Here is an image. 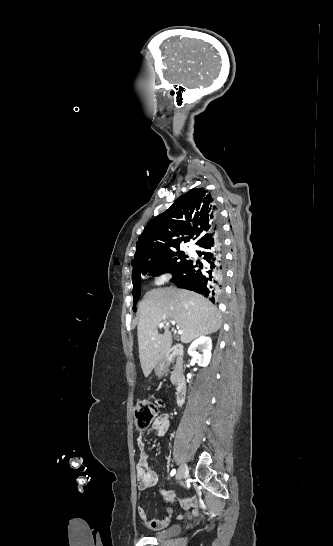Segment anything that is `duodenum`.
Here are the masks:
<instances>
[{
    "instance_id": "1",
    "label": "duodenum",
    "mask_w": 333,
    "mask_h": 546,
    "mask_svg": "<svg viewBox=\"0 0 333 546\" xmlns=\"http://www.w3.org/2000/svg\"><path fill=\"white\" fill-rule=\"evenodd\" d=\"M182 356H183V348L178 345H173L169 349L166 355V358L168 360H173V359L180 360ZM175 375H176L175 398H176V403L178 405H181L186 399L187 382L185 378L179 374L178 370H176Z\"/></svg>"
}]
</instances>
